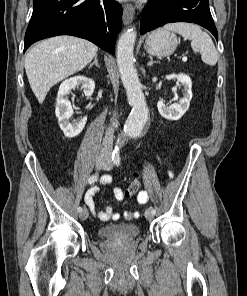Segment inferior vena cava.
I'll use <instances>...</instances> for the list:
<instances>
[{
    "mask_svg": "<svg viewBox=\"0 0 247 296\" xmlns=\"http://www.w3.org/2000/svg\"><path fill=\"white\" fill-rule=\"evenodd\" d=\"M118 125L117 119L112 120L111 126L109 127L108 131L105 134V137L103 139L102 145H101V151L106 152V151H111L113 147V133H114V128H116Z\"/></svg>",
    "mask_w": 247,
    "mask_h": 296,
    "instance_id": "602c4592",
    "label": "inferior vena cava"
}]
</instances>
